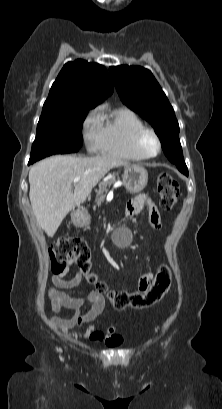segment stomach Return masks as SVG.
I'll list each match as a JSON object with an SVG mask.
<instances>
[{
	"instance_id": "stomach-1",
	"label": "stomach",
	"mask_w": 222,
	"mask_h": 409,
	"mask_svg": "<svg viewBox=\"0 0 222 409\" xmlns=\"http://www.w3.org/2000/svg\"><path fill=\"white\" fill-rule=\"evenodd\" d=\"M122 179L127 191L136 194L145 188L148 173L142 166L131 165L125 168ZM71 220L74 226L83 228L89 226L91 217L86 210H80L72 213Z\"/></svg>"
}]
</instances>
